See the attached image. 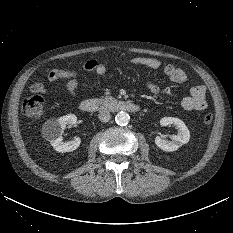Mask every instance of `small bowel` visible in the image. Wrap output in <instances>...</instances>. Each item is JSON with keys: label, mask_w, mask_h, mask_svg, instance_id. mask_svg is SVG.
<instances>
[{"label": "small bowel", "mask_w": 233, "mask_h": 233, "mask_svg": "<svg viewBox=\"0 0 233 233\" xmlns=\"http://www.w3.org/2000/svg\"><path fill=\"white\" fill-rule=\"evenodd\" d=\"M134 65L146 67L149 69H159L161 62L156 58L150 57H135L131 60ZM83 69L86 71H92L99 76H103L107 72V66L103 62H99L95 59H89L83 64ZM165 75L174 83L182 84L187 81V75L184 70L168 64L164 67ZM76 70L66 69H53L48 73L47 80L49 82H55L60 79L67 80L66 89L68 93L75 96L78 88ZM148 91L158 97H165V91L157 84L149 82L147 84ZM31 91L34 94H45L47 92V86L43 82H36L31 86ZM182 108L187 111H204L207 109L206 101V87L204 85H196L190 89V94L183 98L181 102Z\"/></svg>", "instance_id": "c3829d8e"}]
</instances>
